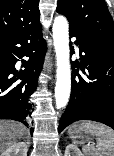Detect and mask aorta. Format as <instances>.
Instances as JSON below:
<instances>
[{"label":"aorta","instance_id":"1","mask_svg":"<svg viewBox=\"0 0 114 156\" xmlns=\"http://www.w3.org/2000/svg\"><path fill=\"white\" fill-rule=\"evenodd\" d=\"M52 30L57 60L55 102L57 109H61L67 105L71 91L69 25L67 19L62 15L55 17Z\"/></svg>","mask_w":114,"mask_h":156}]
</instances>
